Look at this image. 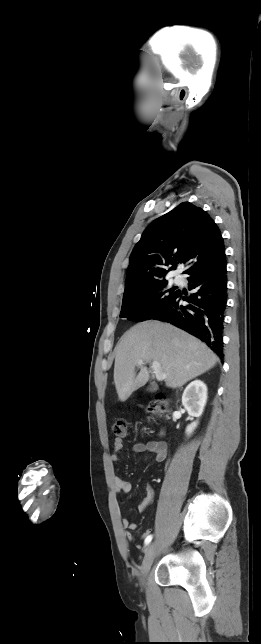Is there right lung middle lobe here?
Masks as SVG:
<instances>
[{
  "mask_svg": "<svg viewBox=\"0 0 261 644\" xmlns=\"http://www.w3.org/2000/svg\"><path fill=\"white\" fill-rule=\"evenodd\" d=\"M179 292L165 279L126 288L120 317L134 322L153 319L174 301Z\"/></svg>",
  "mask_w": 261,
  "mask_h": 644,
  "instance_id": "right-lung-middle-lobe-1",
  "label": "right lung middle lobe"
}]
</instances>
